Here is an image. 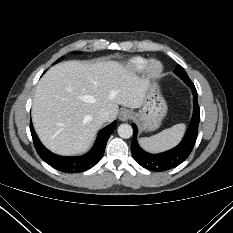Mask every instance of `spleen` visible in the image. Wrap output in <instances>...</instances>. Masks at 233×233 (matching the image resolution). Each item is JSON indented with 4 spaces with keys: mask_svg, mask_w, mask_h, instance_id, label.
<instances>
[{
    "mask_svg": "<svg viewBox=\"0 0 233 233\" xmlns=\"http://www.w3.org/2000/svg\"><path fill=\"white\" fill-rule=\"evenodd\" d=\"M186 126L183 123L173 125L160 133L139 139L140 146L152 153L170 149L177 145L185 133Z\"/></svg>",
    "mask_w": 233,
    "mask_h": 233,
    "instance_id": "obj_1",
    "label": "spleen"
}]
</instances>
